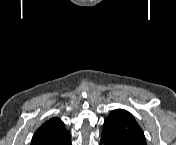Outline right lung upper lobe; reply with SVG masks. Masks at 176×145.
Here are the masks:
<instances>
[{
	"label": "right lung upper lobe",
	"mask_w": 176,
	"mask_h": 145,
	"mask_svg": "<svg viewBox=\"0 0 176 145\" xmlns=\"http://www.w3.org/2000/svg\"><path fill=\"white\" fill-rule=\"evenodd\" d=\"M70 134L59 118H52L36 131L31 145H70Z\"/></svg>",
	"instance_id": "1"
}]
</instances>
